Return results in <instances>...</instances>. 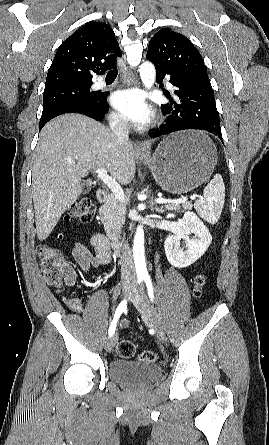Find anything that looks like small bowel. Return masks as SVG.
Returning <instances> with one entry per match:
<instances>
[{"label": "small bowel", "instance_id": "1", "mask_svg": "<svg viewBox=\"0 0 269 445\" xmlns=\"http://www.w3.org/2000/svg\"><path fill=\"white\" fill-rule=\"evenodd\" d=\"M91 245L94 249V252H92L88 247L81 243H76L71 250L73 259L85 273L90 272L93 268L106 265L111 260L109 243L107 238L103 234H95L91 239ZM66 272L71 281H73L75 279L74 270L70 266L66 265ZM119 293L120 286L117 285L113 290L114 299L118 297ZM67 305L71 310L77 313H82L84 310L83 304L78 298L68 299ZM126 324V320H123L121 322L122 326H125Z\"/></svg>", "mask_w": 269, "mask_h": 445}]
</instances>
